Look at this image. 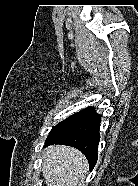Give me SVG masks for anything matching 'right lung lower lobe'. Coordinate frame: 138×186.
<instances>
[{"label": "right lung lower lobe", "mask_w": 138, "mask_h": 186, "mask_svg": "<svg viewBox=\"0 0 138 186\" xmlns=\"http://www.w3.org/2000/svg\"><path fill=\"white\" fill-rule=\"evenodd\" d=\"M101 116L88 107L59 123L49 134L46 145L64 144L79 149L88 159L90 170L97 162Z\"/></svg>", "instance_id": "obj_1"}]
</instances>
